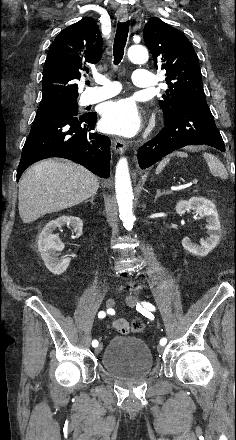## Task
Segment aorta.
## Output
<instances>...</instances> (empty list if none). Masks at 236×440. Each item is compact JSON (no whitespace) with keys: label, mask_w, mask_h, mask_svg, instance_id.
Wrapping results in <instances>:
<instances>
[{"label":"aorta","mask_w":236,"mask_h":440,"mask_svg":"<svg viewBox=\"0 0 236 440\" xmlns=\"http://www.w3.org/2000/svg\"><path fill=\"white\" fill-rule=\"evenodd\" d=\"M128 59L135 64H143L148 60V50L142 45H133L127 52ZM115 191L119 206V217L126 230L133 228L135 216L133 215V190L129 174L128 161L121 158L116 166Z\"/></svg>","instance_id":"aorta-1"}]
</instances>
